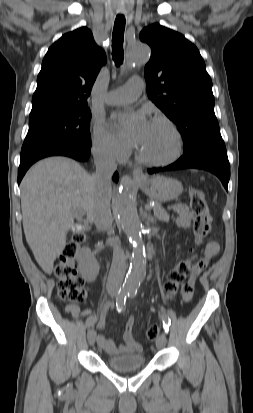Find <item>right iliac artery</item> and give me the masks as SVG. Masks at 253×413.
I'll use <instances>...</instances> for the list:
<instances>
[{
    "label": "right iliac artery",
    "mask_w": 253,
    "mask_h": 413,
    "mask_svg": "<svg viewBox=\"0 0 253 413\" xmlns=\"http://www.w3.org/2000/svg\"><path fill=\"white\" fill-rule=\"evenodd\" d=\"M129 291L126 289H120L118 292V296L116 299V308L118 312H123L125 310V302L128 297ZM95 323V319H92L87 322V327L93 326Z\"/></svg>",
    "instance_id": "1"
}]
</instances>
